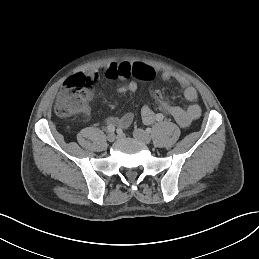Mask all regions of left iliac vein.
I'll return each instance as SVG.
<instances>
[{
  "label": "left iliac vein",
  "instance_id": "obj_1",
  "mask_svg": "<svg viewBox=\"0 0 259 259\" xmlns=\"http://www.w3.org/2000/svg\"><path fill=\"white\" fill-rule=\"evenodd\" d=\"M133 136L136 140L144 144H149L151 142V136L142 129H135L133 132Z\"/></svg>",
  "mask_w": 259,
  "mask_h": 259
}]
</instances>
